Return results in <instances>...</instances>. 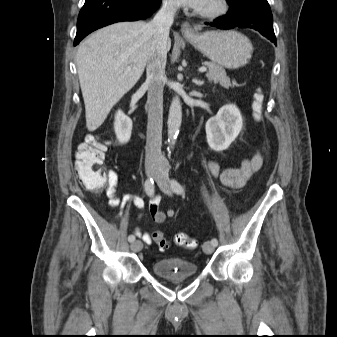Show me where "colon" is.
I'll list each match as a JSON object with an SVG mask.
<instances>
[{
	"label": "colon",
	"mask_w": 337,
	"mask_h": 337,
	"mask_svg": "<svg viewBox=\"0 0 337 337\" xmlns=\"http://www.w3.org/2000/svg\"><path fill=\"white\" fill-rule=\"evenodd\" d=\"M264 95L261 88H257L253 99V112L257 120L262 113ZM107 142L93 135H87L85 140L78 146L75 154V167L82 184L89 190L100 191L107 186L108 174L102 168ZM153 237L159 248L167 249L169 241L161 231L153 233ZM175 243L188 250L197 246V241L185 233L175 235Z\"/></svg>",
	"instance_id": "colon-1"
}]
</instances>
